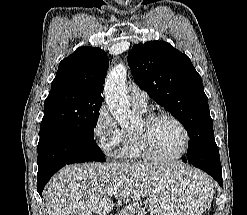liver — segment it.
<instances>
[{"mask_svg":"<svg viewBox=\"0 0 247 215\" xmlns=\"http://www.w3.org/2000/svg\"><path fill=\"white\" fill-rule=\"evenodd\" d=\"M180 163H87L66 166L44 190L49 215H107L114 205L107 191L128 204L150 195Z\"/></svg>","mask_w":247,"mask_h":215,"instance_id":"liver-1","label":"liver"}]
</instances>
